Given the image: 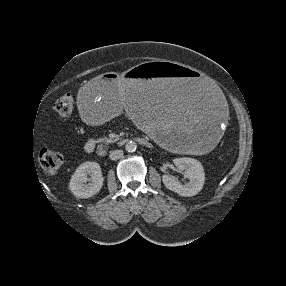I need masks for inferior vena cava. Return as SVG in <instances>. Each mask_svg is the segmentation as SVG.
<instances>
[{"label":"inferior vena cava","instance_id":"inferior-vena-cava-1","mask_svg":"<svg viewBox=\"0 0 286 286\" xmlns=\"http://www.w3.org/2000/svg\"><path fill=\"white\" fill-rule=\"evenodd\" d=\"M122 156H123V151L122 150H113V151L110 152V155H109L111 160H118Z\"/></svg>","mask_w":286,"mask_h":286}]
</instances>
